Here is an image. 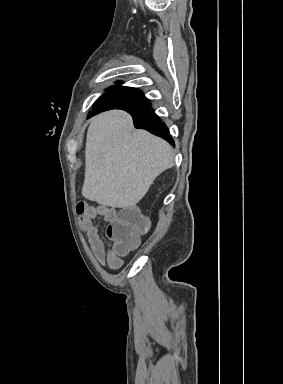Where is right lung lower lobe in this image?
Returning a JSON list of instances; mask_svg holds the SVG:
<instances>
[{
  "label": "right lung lower lobe",
  "instance_id": "1",
  "mask_svg": "<svg viewBox=\"0 0 283 384\" xmlns=\"http://www.w3.org/2000/svg\"><path fill=\"white\" fill-rule=\"evenodd\" d=\"M110 109H122L131 114L134 122L135 128L145 129L150 133L160 136L161 138L167 140L169 143L174 145V141L169 133L167 126L160 121V118L154 113L152 108H147L145 110H137L133 108H110ZM106 109V110H110ZM96 112H90L88 117L94 116L99 112L106 110H97L93 109Z\"/></svg>",
  "mask_w": 283,
  "mask_h": 384
}]
</instances>
